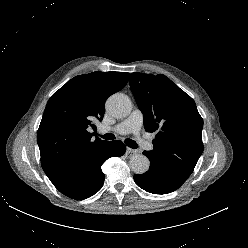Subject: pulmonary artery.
Here are the masks:
<instances>
[{
	"label": "pulmonary artery",
	"instance_id": "e3ab8cb5",
	"mask_svg": "<svg viewBox=\"0 0 248 248\" xmlns=\"http://www.w3.org/2000/svg\"><path fill=\"white\" fill-rule=\"evenodd\" d=\"M143 125V115L140 110L135 109L127 119L117 124L115 127L110 128L108 126L101 125L98 127L99 132L106 133L110 130H113L119 134H129L133 133L138 135L140 129ZM140 142L146 147H150V144L139 138Z\"/></svg>",
	"mask_w": 248,
	"mask_h": 248
}]
</instances>
